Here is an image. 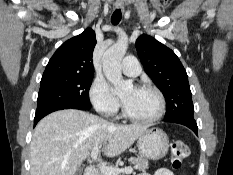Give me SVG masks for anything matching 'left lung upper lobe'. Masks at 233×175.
<instances>
[{
	"label": "left lung upper lobe",
	"mask_w": 233,
	"mask_h": 175,
	"mask_svg": "<svg viewBox=\"0 0 233 175\" xmlns=\"http://www.w3.org/2000/svg\"><path fill=\"white\" fill-rule=\"evenodd\" d=\"M136 49L146 73L165 96L164 121L194 119L188 76L177 55L146 34L136 40Z\"/></svg>",
	"instance_id": "obj_1"
}]
</instances>
